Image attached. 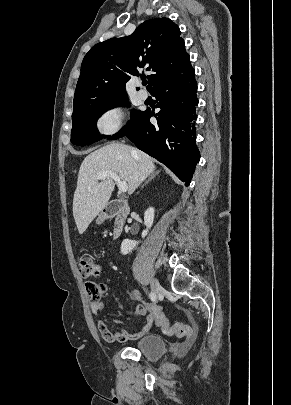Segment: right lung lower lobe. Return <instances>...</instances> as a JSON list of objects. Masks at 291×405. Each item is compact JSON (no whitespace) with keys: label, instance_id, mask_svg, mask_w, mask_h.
Masks as SVG:
<instances>
[{"label":"right lung lower lobe","instance_id":"1","mask_svg":"<svg viewBox=\"0 0 291 405\" xmlns=\"http://www.w3.org/2000/svg\"><path fill=\"white\" fill-rule=\"evenodd\" d=\"M195 71L159 84L151 94L161 110L142 113L135 126L125 134L138 149L165 164L188 186L200 152L195 142L197 82ZM154 116L157 123L152 124Z\"/></svg>","mask_w":291,"mask_h":405}]
</instances>
